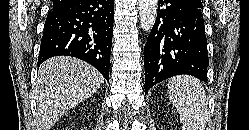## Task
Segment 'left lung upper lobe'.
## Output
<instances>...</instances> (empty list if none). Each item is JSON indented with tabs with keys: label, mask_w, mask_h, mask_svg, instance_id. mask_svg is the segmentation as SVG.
Masks as SVG:
<instances>
[{
	"label": "left lung upper lobe",
	"mask_w": 249,
	"mask_h": 130,
	"mask_svg": "<svg viewBox=\"0 0 249 130\" xmlns=\"http://www.w3.org/2000/svg\"><path fill=\"white\" fill-rule=\"evenodd\" d=\"M186 2H188L189 4H191L192 6H194L197 9L202 10L203 9V5L201 0H185Z\"/></svg>",
	"instance_id": "1"
}]
</instances>
